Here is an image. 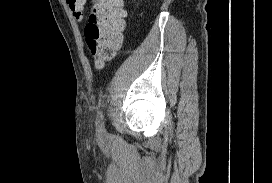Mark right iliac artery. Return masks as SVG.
<instances>
[{
    "label": "right iliac artery",
    "instance_id": "82829eb1",
    "mask_svg": "<svg viewBox=\"0 0 272 183\" xmlns=\"http://www.w3.org/2000/svg\"><path fill=\"white\" fill-rule=\"evenodd\" d=\"M96 125H97V131L99 134L104 133V121H103V115L101 112H99L98 117L96 119Z\"/></svg>",
    "mask_w": 272,
    "mask_h": 183
}]
</instances>
